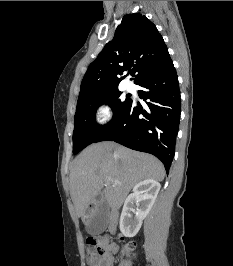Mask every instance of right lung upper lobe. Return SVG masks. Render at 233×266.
<instances>
[{"label":"right lung upper lobe","mask_w":233,"mask_h":266,"mask_svg":"<svg viewBox=\"0 0 233 266\" xmlns=\"http://www.w3.org/2000/svg\"><path fill=\"white\" fill-rule=\"evenodd\" d=\"M169 53L155 25L141 14H127L112 41L90 64L81 83L79 99L117 89L127 69L133 68L134 83L160 66Z\"/></svg>","instance_id":"cb5924a9"}]
</instances>
